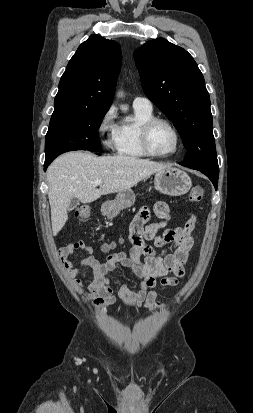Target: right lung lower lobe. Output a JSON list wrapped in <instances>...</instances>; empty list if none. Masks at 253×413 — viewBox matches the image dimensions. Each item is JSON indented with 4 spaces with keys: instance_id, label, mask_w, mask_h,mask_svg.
Here are the masks:
<instances>
[{
    "instance_id": "obj_1",
    "label": "right lung lower lobe",
    "mask_w": 253,
    "mask_h": 413,
    "mask_svg": "<svg viewBox=\"0 0 253 413\" xmlns=\"http://www.w3.org/2000/svg\"><path fill=\"white\" fill-rule=\"evenodd\" d=\"M101 153H102V152H97V154H99V155H100ZM52 161H53V159L45 160L44 170L47 169L48 165H49Z\"/></svg>"
}]
</instances>
